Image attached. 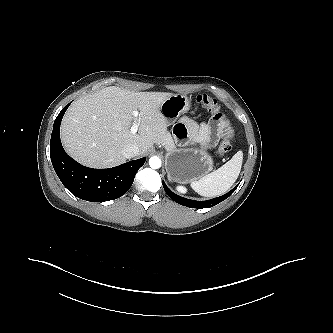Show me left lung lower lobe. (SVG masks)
Returning <instances> with one entry per match:
<instances>
[{"mask_svg": "<svg viewBox=\"0 0 333 333\" xmlns=\"http://www.w3.org/2000/svg\"><path fill=\"white\" fill-rule=\"evenodd\" d=\"M163 187L165 192L167 193V195L174 200L175 202L187 206V207H191V208H209L212 206L217 205L218 203L222 202L223 200H225L226 198H228L234 191L235 189L238 187V185L233 188L231 191H229L227 194H224L223 196L214 198V199H210V200H206V201H195V200H190V199H186L183 198L181 196L176 195L175 193H173L164 183L163 181Z\"/></svg>", "mask_w": 333, "mask_h": 333, "instance_id": "obj_1", "label": "left lung lower lobe"}]
</instances>
